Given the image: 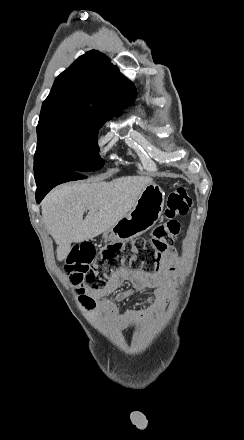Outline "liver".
Instances as JSON below:
<instances>
[{
	"instance_id": "liver-1",
	"label": "liver",
	"mask_w": 244,
	"mask_h": 440,
	"mask_svg": "<svg viewBox=\"0 0 244 440\" xmlns=\"http://www.w3.org/2000/svg\"><path fill=\"white\" fill-rule=\"evenodd\" d=\"M149 184H153L149 176H125L112 182H73L52 190L41 204V214L57 244L58 262L66 260L72 242L92 240L124 218Z\"/></svg>"
}]
</instances>
